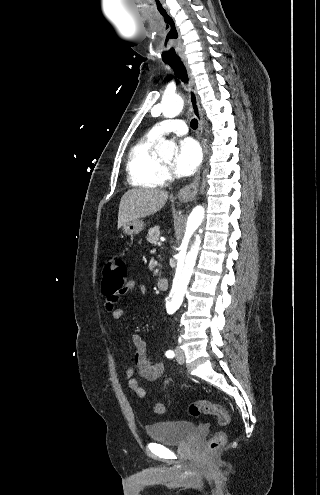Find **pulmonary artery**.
Wrapping results in <instances>:
<instances>
[{
    "instance_id": "obj_1",
    "label": "pulmonary artery",
    "mask_w": 320,
    "mask_h": 495,
    "mask_svg": "<svg viewBox=\"0 0 320 495\" xmlns=\"http://www.w3.org/2000/svg\"><path fill=\"white\" fill-rule=\"evenodd\" d=\"M187 131L188 129L184 121L177 119H167L156 124L150 130V133L157 138H161L170 133L185 135Z\"/></svg>"
}]
</instances>
